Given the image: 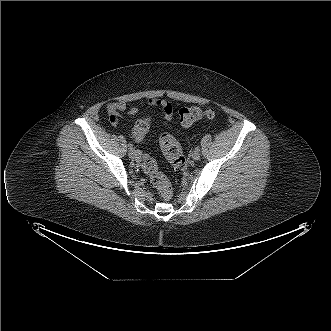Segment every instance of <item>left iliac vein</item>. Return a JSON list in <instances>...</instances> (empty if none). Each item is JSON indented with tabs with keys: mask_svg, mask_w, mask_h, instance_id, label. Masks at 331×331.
Here are the masks:
<instances>
[{
	"mask_svg": "<svg viewBox=\"0 0 331 331\" xmlns=\"http://www.w3.org/2000/svg\"><path fill=\"white\" fill-rule=\"evenodd\" d=\"M200 152H198V151H194L193 153H192V158H193V160H199V158H200Z\"/></svg>",
	"mask_w": 331,
	"mask_h": 331,
	"instance_id": "left-iliac-vein-1",
	"label": "left iliac vein"
}]
</instances>
